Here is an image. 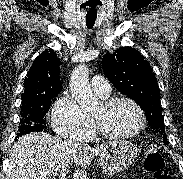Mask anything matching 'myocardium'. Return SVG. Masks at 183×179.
I'll return each instance as SVG.
<instances>
[{
    "label": "myocardium",
    "mask_w": 183,
    "mask_h": 179,
    "mask_svg": "<svg viewBox=\"0 0 183 179\" xmlns=\"http://www.w3.org/2000/svg\"><path fill=\"white\" fill-rule=\"evenodd\" d=\"M119 102H127V103L131 104L139 114L140 123L137 126V128L131 132L113 133V132H110V131L106 130L105 128H103L102 125L100 124V122L96 118H94V123H95L97 131L106 138H110V139L131 138V137L138 135L146 126L147 119H146V115H145L143 108L140 106V104L138 102H136L134 99H132L130 97H127V96L108 97L103 100L102 105L106 109H109Z\"/></svg>",
    "instance_id": "f54148a6"
}]
</instances>
